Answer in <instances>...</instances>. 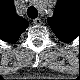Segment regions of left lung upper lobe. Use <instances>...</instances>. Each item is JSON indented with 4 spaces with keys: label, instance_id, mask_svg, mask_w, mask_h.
Masks as SVG:
<instances>
[{
    "label": "left lung upper lobe",
    "instance_id": "obj_1",
    "mask_svg": "<svg viewBox=\"0 0 80 80\" xmlns=\"http://www.w3.org/2000/svg\"><path fill=\"white\" fill-rule=\"evenodd\" d=\"M64 0H60L54 11V16L49 18V24L60 40L71 41L76 38V28L79 24Z\"/></svg>",
    "mask_w": 80,
    "mask_h": 80
}]
</instances>
